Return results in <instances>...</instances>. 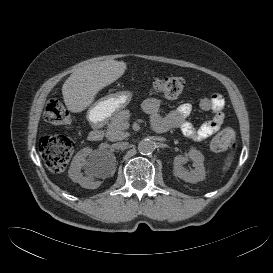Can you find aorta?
I'll list each match as a JSON object with an SVG mask.
<instances>
[{
	"mask_svg": "<svg viewBox=\"0 0 273 273\" xmlns=\"http://www.w3.org/2000/svg\"><path fill=\"white\" fill-rule=\"evenodd\" d=\"M155 150V143L150 139H143L138 143V151L143 155H149Z\"/></svg>",
	"mask_w": 273,
	"mask_h": 273,
	"instance_id": "1",
	"label": "aorta"
}]
</instances>
